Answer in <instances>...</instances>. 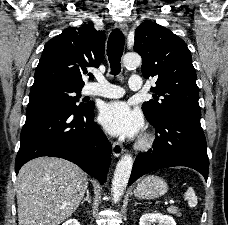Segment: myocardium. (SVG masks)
<instances>
[{
    "instance_id": "obj_1",
    "label": "myocardium",
    "mask_w": 228,
    "mask_h": 225,
    "mask_svg": "<svg viewBox=\"0 0 228 225\" xmlns=\"http://www.w3.org/2000/svg\"><path fill=\"white\" fill-rule=\"evenodd\" d=\"M153 144V138L150 136H145L139 140L137 146L141 149H148Z\"/></svg>"
}]
</instances>
